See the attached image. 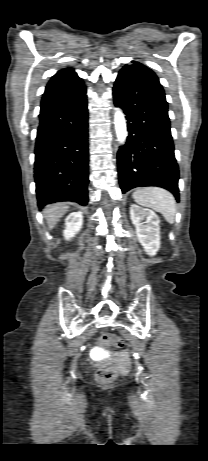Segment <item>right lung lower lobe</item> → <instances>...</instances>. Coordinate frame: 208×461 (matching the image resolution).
<instances>
[{
    "label": "right lung lower lobe",
    "mask_w": 208,
    "mask_h": 461,
    "mask_svg": "<svg viewBox=\"0 0 208 461\" xmlns=\"http://www.w3.org/2000/svg\"><path fill=\"white\" fill-rule=\"evenodd\" d=\"M34 178L38 206L88 202V109L86 92L77 100L40 111Z\"/></svg>",
    "instance_id": "right-lung-lower-lobe-1"
}]
</instances>
